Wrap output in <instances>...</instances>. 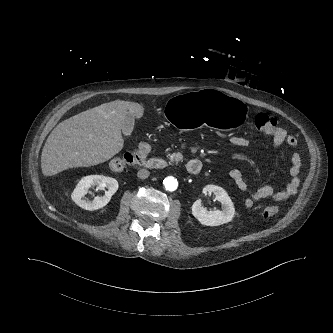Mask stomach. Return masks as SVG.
<instances>
[{"label":"stomach","mask_w":333,"mask_h":333,"mask_svg":"<svg viewBox=\"0 0 333 333\" xmlns=\"http://www.w3.org/2000/svg\"><path fill=\"white\" fill-rule=\"evenodd\" d=\"M166 115L180 129L207 127L237 131L249 119L246 104L214 90L180 94L166 105Z\"/></svg>","instance_id":"stomach-1"}]
</instances>
